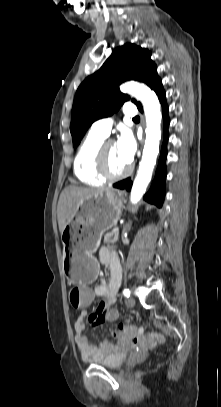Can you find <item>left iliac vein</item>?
I'll return each mask as SVG.
<instances>
[{
	"label": "left iliac vein",
	"mask_w": 221,
	"mask_h": 407,
	"mask_svg": "<svg viewBox=\"0 0 221 407\" xmlns=\"http://www.w3.org/2000/svg\"><path fill=\"white\" fill-rule=\"evenodd\" d=\"M125 304H126V306L128 307V308H132V307H134L135 306V299L131 296V297H128L127 299H126V301H125Z\"/></svg>",
	"instance_id": "left-iliac-vein-1"
}]
</instances>
